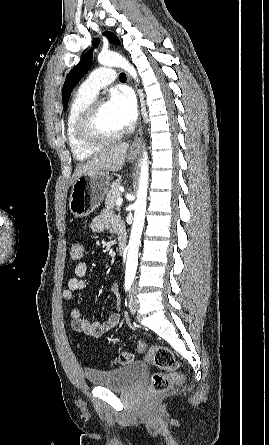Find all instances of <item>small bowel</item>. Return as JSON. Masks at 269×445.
<instances>
[{"label": "small bowel", "mask_w": 269, "mask_h": 445, "mask_svg": "<svg viewBox=\"0 0 269 445\" xmlns=\"http://www.w3.org/2000/svg\"><path fill=\"white\" fill-rule=\"evenodd\" d=\"M91 230L96 233L103 232L108 229L116 230L118 233L123 231L122 224L110 210H103L98 216L91 221ZM88 273V265L85 262L78 263L74 268V276L68 280L67 288L63 291L62 297L66 302L74 300L76 293L87 289L88 282L85 279ZM111 293L117 301L118 311L111 313L104 321L90 322L83 318L81 312L77 308L69 311L71 326L74 331L83 333L91 337H100L105 332L111 330L120 322V286L118 283L112 284Z\"/></svg>", "instance_id": "c3829d8e"}]
</instances>
